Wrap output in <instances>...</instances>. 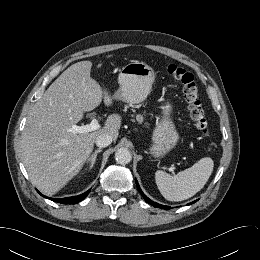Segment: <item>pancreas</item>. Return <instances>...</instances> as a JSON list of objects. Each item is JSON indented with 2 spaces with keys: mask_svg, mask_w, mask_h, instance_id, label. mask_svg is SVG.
<instances>
[{
  "mask_svg": "<svg viewBox=\"0 0 260 260\" xmlns=\"http://www.w3.org/2000/svg\"><path fill=\"white\" fill-rule=\"evenodd\" d=\"M136 120H137L139 123H141V122L143 121V117L140 116V115H137V116H136Z\"/></svg>",
  "mask_w": 260,
  "mask_h": 260,
  "instance_id": "cf45deb5",
  "label": "pancreas"
}]
</instances>
